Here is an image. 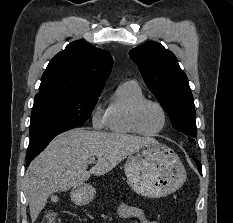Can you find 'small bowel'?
Wrapping results in <instances>:
<instances>
[{
    "instance_id": "1",
    "label": "small bowel",
    "mask_w": 233,
    "mask_h": 223,
    "mask_svg": "<svg viewBox=\"0 0 233 223\" xmlns=\"http://www.w3.org/2000/svg\"><path fill=\"white\" fill-rule=\"evenodd\" d=\"M131 218L136 219L137 223H157L154 220H150L139 207L133 206L127 202L120 203L117 207L118 222Z\"/></svg>"
}]
</instances>
